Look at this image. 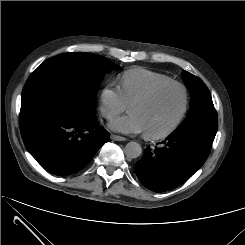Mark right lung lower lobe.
Here are the masks:
<instances>
[{"mask_svg":"<svg viewBox=\"0 0 245 245\" xmlns=\"http://www.w3.org/2000/svg\"><path fill=\"white\" fill-rule=\"evenodd\" d=\"M95 114L75 115L64 107L20 120V132L30 154L49 172L70 175L87 165L108 141Z\"/></svg>","mask_w":245,"mask_h":245,"instance_id":"1","label":"right lung lower lobe"}]
</instances>
